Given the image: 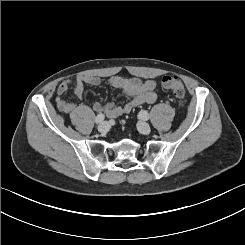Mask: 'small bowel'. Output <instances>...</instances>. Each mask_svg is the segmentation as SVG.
Segmentation results:
<instances>
[{
	"mask_svg": "<svg viewBox=\"0 0 245 245\" xmlns=\"http://www.w3.org/2000/svg\"><path fill=\"white\" fill-rule=\"evenodd\" d=\"M100 83L101 79L93 75H81L74 79L62 81L57 88L56 104L58 109L68 114L73 124L82 127L87 115L91 112L90 108L83 104L68 101L65 95L71 90L77 97L82 98L85 85L97 86ZM109 83L129 98L128 102L120 106L114 105L112 102L94 105L95 111H102L109 118L127 114L137 106L152 104L158 99L157 82L154 80L144 81L137 78L113 76L109 79Z\"/></svg>",
	"mask_w": 245,
	"mask_h": 245,
	"instance_id": "1",
	"label": "small bowel"
}]
</instances>
